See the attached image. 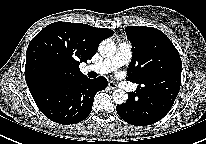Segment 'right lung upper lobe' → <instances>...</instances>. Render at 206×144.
Returning a JSON list of instances; mask_svg holds the SVG:
<instances>
[{"label":"right lung upper lobe","mask_w":206,"mask_h":144,"mask_svg":"<svg viewBox=\"0 0 206 144\" xmlns=\"http://www.w3.org/2000/svg\"><path fill=\"white\" fill-rule=\"evenodd\" d=\"M113 34L111 29L82 23L46 26L30 41L26 52L25 79L31 95L47 86L86 77L79 64L91 59L99 43Z\"/></svg>","instance_id":"cb5924a9"}]
</instances>
